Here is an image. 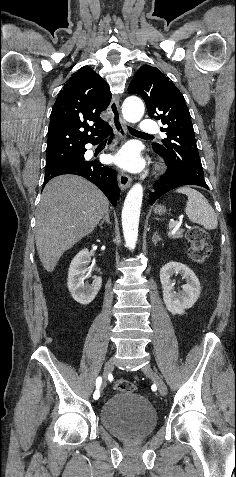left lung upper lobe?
I'll list each match as a JSON object with an SVG mask.
<instances>
[{
    "mask_svg": "<svg viewBox=\"0 0 236 477\" xmlns=\"http://www.w3.org/2000/svg\"><path fill=\"white\" fill-rule=\"evenodd\" d=\"M128 92L142 96L149 116L162 121L161 131L167 137L162 144L154 143L153 150L164 158L168 166L204 180L190 113L174 83L156 67L144 65L131 81Z\"/></svg>",
    "mask_w": 236,
    "mask_h": 477,
    "instance_id": "1",
    "label": "left lung upper lobe"
}]
</instances>
